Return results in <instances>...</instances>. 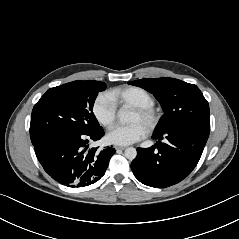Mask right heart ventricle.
I'll use <instances>...</instances> for the list:
<instances>
[{
  "instance_id": "e07e8e85",
  "label": "right heart ventricle",
  "mask_w": 239,
  "mask_h": 239,
  "mask_svg": "<svg viewBox=\"0 0 239 239\" xmlns=\"http://www.w3.org/2000/svg\"><path fill=\"white\" fill-rule=\"evenodd\" d=\"M109 96L116 105L129 107H153L154 98L143 88L130 86L110 92Z\"/></svg>"
}]
</instances>
